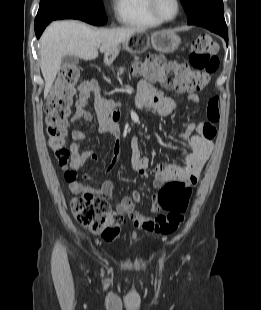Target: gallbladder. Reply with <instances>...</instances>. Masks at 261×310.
<instances>
[{
  "label": "gallbladder",
  "instance_id": "bac80fb5",
  "mask_svg": "<svg viewBox=\"0 0 261 310\" xmlns=\"http://www.w3.org/2000/svg\"><path fill=\"white\" fill-rule=\"evenodd\" d=\"M78 63H79V58L74 55L67 54L62 58V65L66 67L75 66Z\"/></svg>",
  "mask_w": 261,
  "mask_h": 310
}]
</instances>
